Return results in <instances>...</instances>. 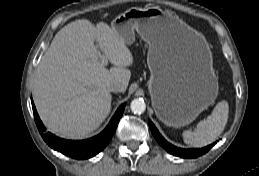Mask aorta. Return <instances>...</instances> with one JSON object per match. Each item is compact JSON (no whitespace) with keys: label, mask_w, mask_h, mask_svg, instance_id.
<instances>
[{"label":"aorta","mask_w":259,"mask_h":176,"mask_svg":"<svg viewBox=\"0 0 259 176\" xmlns=\"http://www.w3.org/2000/svg\"><path fill=\"white\" fill-rule=\"evenodd\" d=\"M130 108L134 114H142L146 110V104L143 99L136 98L132 100Z\"/></svg>","instance_id":"aorta-1"}]
</instances>
